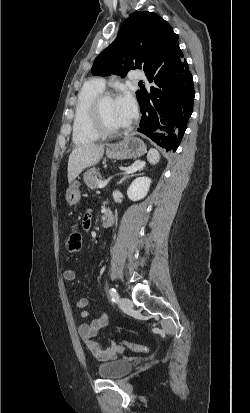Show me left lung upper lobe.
Instances as JSON below:
<instances>
[{"mask_svg": "<svg viewBox=\"0 0 250 413\" xmlns=\"http://www.w3.org/2000/svg\"><path fill=\"white\" fill-rule=\"evenodd\" d=\"M174 37L178 35L157 14L135 12L124 21L113 43L96 57L92 73L122 77L131 69H143L147 73L155 66L159 43Z\"/></svg>", "mask_w": 250, "mask_h": 413, "instance_id": "obj_1", "label": "left lung upper lobe"}]
</instances>
